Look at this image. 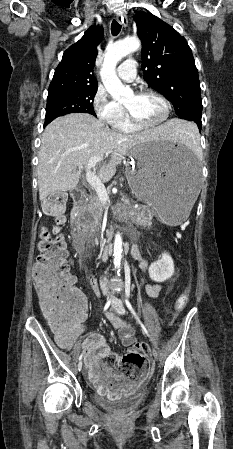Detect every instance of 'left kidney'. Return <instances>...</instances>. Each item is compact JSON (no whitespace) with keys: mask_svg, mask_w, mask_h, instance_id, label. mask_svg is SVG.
<instances>
[{"mask_svg":"<svg viewBox=\"0 0 233 449\" xmlns=\"http://www.w3.org/2000/svg\"><path fill=\"white\" fill-rule=\"evenodd\" d=\"M174 274V262L172 257L164 252L162 257L149 267V276L155 282H164Z\"/></svg>","mask_w":233,"mask_h":449,"instance_id":"5707ae66","label":"left kidney"}]
</instances>
